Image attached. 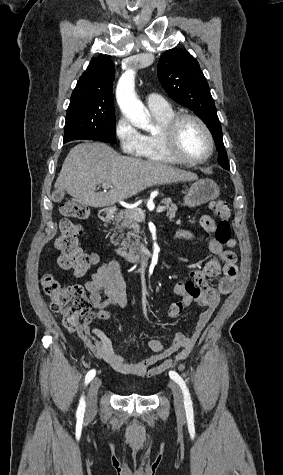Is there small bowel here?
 <instances>
[{"instance_id":"1","label":"small bowel","mask_w":283,"mask_h":475,"mask_svg":"<svg viewBox=\"0 0 283 475\" xmlns=\"http://www.w3.org/2000/svg\"><path fill=\"white\" fill-rule=\"evenodd\" d=\"M199 227L205 232L212 231L213 219L209 215L201 216ZM177 236L188 242L197 240V235L190 229H181ZM233 246L234 243L231 239H226L224 244L217 240H210L208 247L212 253L211 259L202 269L192 270L190 273L193 279H198L202 283L201 294L195 303L202 306L203 311L189 335L177 333L168 346H164L158 338L150 339L148 345L152 353L139 361H129L116 353L111 339L101 329L91 326L106 324L105 318L108 317V314L104 311L105 307L111 305H118L121 308L128 307L126 279L121 272L120 262L112 260L102 264L92 274L91 280L85 286L92 306L99 311V317H95L94 313H90L88 315L90 318L85 319L78 330V337L97 359L104 361L113 370L126 376L139 378L154 376L161 368L150 372L148 369L155 364L163 362L162 367H169L186 359L190 356L204 328L220 305L222 298L229 295L234 288L238 266L236 254L229 250ZM217 277L219 280L214 287L206 281ZM183 287H185L184 281L176 283L173 289L174 293L176 295L182 293Z\"/></svg>"}]
</instances>
